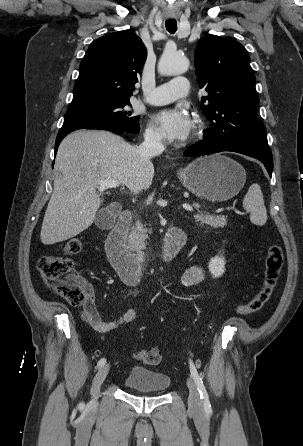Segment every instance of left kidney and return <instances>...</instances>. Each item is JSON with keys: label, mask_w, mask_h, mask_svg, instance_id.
Segmentation results:
<instances>
[{"label": "left kidney", "mask_w": 303, "mask_h": 446, "mask_svg": "<svg viewBox=\"0 0 303 446\" xmlns=\"http://www.w3.org/2000/svg\"><path fill=\"white\" fill-rule=\"evenodd\" d=\"M209 272L214 278L220 277L225 271V259L223 256H216L209 262Z\"/></svg>", "instance_id": "obj_1"}]
</instances>
